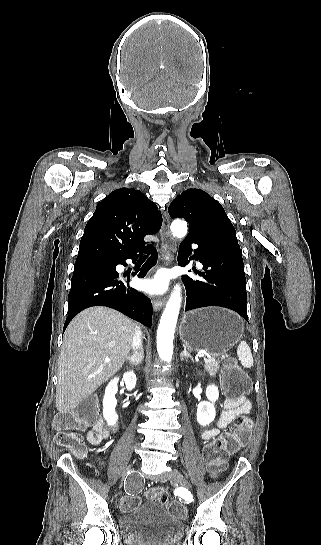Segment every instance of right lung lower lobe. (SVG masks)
<instances>
[{
    "label": "right lung lower lobe",
    "instance_id": "98d812e1",
    "mask_svg": "<svg viewBox=\"0 0 321 545\" xmlns=\"http://www.w3.org/2000/svg\"><path fill=\"white\" fill-rule=\"evenodd\" d=\"M142 250L143 247L137 252ZM137 252L115 262H96L74 267L68 296V316L64 329L80 311L91 306H107L116 309L143 325L151 327V301L144 294L129 287V277L128 285H124L116 271V265H126L125 260H134ZM148 252L152 256L133 275L144 277L147 271L156 264L157 251L152 246H148Z\"/></svg>",
    "mask_w": 321,
    "mask_h": 545
}]
</instances>
